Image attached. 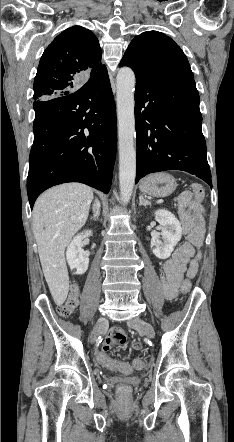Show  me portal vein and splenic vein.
I'll use <instances>...</instances> for the list:
<instances>
[{
	"mask_svg": "<svg viewBox=\"0 0 234 442\" xmlns=\"http://www.w3.org/2000/svg\"><path fill=\"white\" fill-rule=\"evenodd\" d=\"M162 202H163V200H159V201H158V203H162Z\"/></svg>",
	"mask_w": 234,
	"mask_h": 442,
	"instance_id": "1",
	"label": "portal vein and splenic vein"
}]
</instances>
